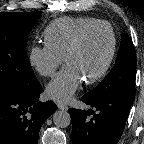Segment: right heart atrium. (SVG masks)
<instances>
[{"label": "right heart atrium", "mask_w": 144, "mask_h": 144, "mask_svg": "<svg viewBox=\"0 0 144 144\" xmlns=\"http://www.w3.org/2000/svg\"><path fill=\"white\" fill-rule=\"evenodd\" d=\"M28 61L41 76L51 77L63 63V57L46 44L43 46L33 45L28 53Z\"/></svg>", "instance_id": "right-heart-atrium-1"}]
</instances>
